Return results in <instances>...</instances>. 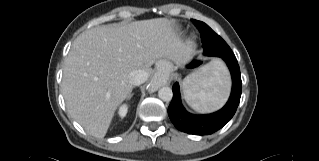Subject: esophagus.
Here are the masks:
<instances>
[{"label": "esophagus", "mask_w": 319, "mask_h": 161, "mask_svg": "<svg viewBox=\"0 0 319 161\" xmlns=\"http://www.w3.org/2000/svg\"><path fill=\"white\" fill-rule=\"evenodd\" d=\"M150 86L152 89H158L161 86V81L158 79L152 80Z\"/></svg>", "instance_id": "34e87169"}]
</instances>
